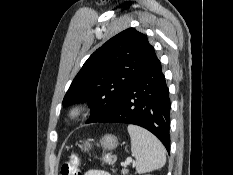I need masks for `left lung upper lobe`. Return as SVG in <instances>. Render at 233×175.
Segmentation results:
<instances>
[{"label":"left lung upper lobe","instance_id":"left-lung-upper-lobe-1","mask_svg":"<svg viewBox=\"0 0 233 175\" xmlns=\"http://www.w3.org/2000/svg\"><path fill=\"white\" fill-rule=\"evenodd\" d=\"M154 55L144 34L134 28L120 32L87 59L72 81L63 105L88 101L91 117L87 123L97 122L115 107Z\"/></svg>","mask_w":233,"mask_h":175}]
</instances>
